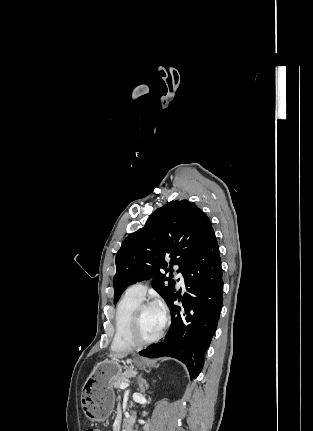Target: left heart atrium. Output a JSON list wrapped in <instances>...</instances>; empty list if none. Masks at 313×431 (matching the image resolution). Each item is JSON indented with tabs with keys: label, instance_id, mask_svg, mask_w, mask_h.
Instances as JSON below:
<instances>
[{
	"label": "left heart atrium",
	"instance_id": "39dd6f15",
	"mask_svg": "<svg viewBox=\"0 0 313 431\" xmlns=\"http://www.w3.org/2000/svg\"><path fill=\"white\" fill-rule=\"evenodd\" d=\"M152 307L157 312L159 320H160V325L162 327L165 323V320H166V312H165L164 305L161 301H155L154 304L152 305Z\"/></svg>",
	"mask_w": 313,
	"mask_h": 431
}]
</instances>
